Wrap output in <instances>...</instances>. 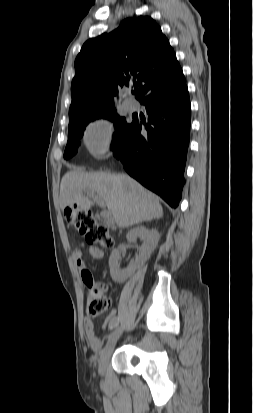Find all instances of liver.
Masks as SVG:
<instances>
[{
  "label": "liver",
  "mask_w": 253,
  "mask_h": 413,
  "mask_svg": "<svg viewBox=\"0 0 253 413\" xmlns=\"http://www.w3.org/2000/svg\"><path fill=\"white\" fill-rule=\"evenodd\" d=\"M94 191L105 202L117 225L122 228L159 219L163 209L156 195L127 174L67 172L60 184L59 205L77 204L90 209L92 202L85 192Z\"/></svg>",
  "instance_id": "1"
}]
</instances>
